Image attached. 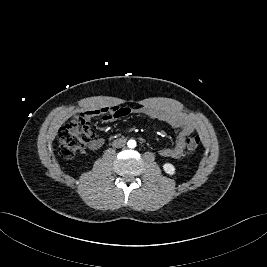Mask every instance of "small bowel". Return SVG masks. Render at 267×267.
Instances as JSON below:
<instances>
[{"mask_svg":"<svg viewBox=\"0 0 267 267\" xmlns=\"http://www.w3.org/2000/svg\"><path fill=\"white\" fill-rule=\"evenodd\" d=\"M129 113L145 115L151 119L165 122L173 128L179 130V135L174 145L162 148L159 151V154L162 157H170L175 159L181 158L184 155L186 148V138L194 132L195 123L188 116L182 113L153 106H145L135 109L114 106L101 109L87 110L80 114H76L75 118H91L94 116L101 115L105 122H111L117 118L124 117ZM104 143L105 140L103 138H95L90 141L89 148L92 150H97L101 148Z\"/></svg>","mask_w":267,"mask_h":267,"instance_id":"1","label":"small bowel"}]
</instances>
